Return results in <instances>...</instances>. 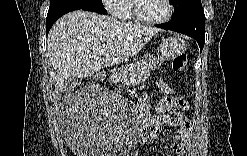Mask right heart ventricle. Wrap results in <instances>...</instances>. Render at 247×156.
Wrapping results in <instances>:
<instances>
[{"label":"right heart ventricle","mask_w":247,"mask_h":156,"mask_svg":"<svg viewBox=\"0 0 247 156\" xmlns=\"http://www.w3.org/2000/svg\"><path fill=\"white\" fill-rule=\"evenodd\" d=\"M121 19H131L130 1H122L120 5V12L117 14Z\"/></svg>","instance_id":"obj_1"}]
</instances>
